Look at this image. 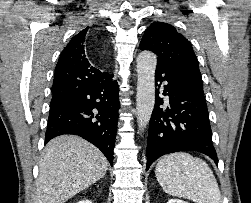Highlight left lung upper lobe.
<instances>
[{
  "instance_id": "left-lung-upper-lobe-1",
  "label": "left lung upper lobe",
  "mask_w": 251,
  "mask_h": 203,
  "mask_svg": "<svg viewBox=\"0 0 251 203\" xmlns=\"http://www.w3.org/2000/svg\"><path fill=\"white\" fill-rule=\"evenodd\" d=\"M140 49L157 54V65L175 70L204 93L198 61L192 45L176 31L174 26L164 22H153L144 33Z\"/></svg>"
}]
</instances>
